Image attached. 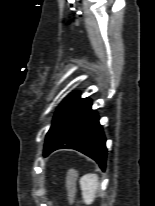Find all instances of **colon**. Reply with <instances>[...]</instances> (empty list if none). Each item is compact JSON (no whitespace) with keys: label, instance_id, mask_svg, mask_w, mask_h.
<instances>
[{"label":"colon","instance_id":"5ec220e1","mask_svg":"<svg viewBox=\"0 0 155 206\" xmlns=\"http://www.w3.org/2000/svg\"><path fill=\"white\" fill-rule=\"evenodd\" d=\"M68 197H69V200L72 201L74 199V195H75V186L73 184V182H69L68 183Z\"/></svg>","mask_w":155,"mask_h":206}]
</instances>
